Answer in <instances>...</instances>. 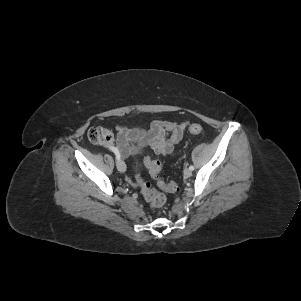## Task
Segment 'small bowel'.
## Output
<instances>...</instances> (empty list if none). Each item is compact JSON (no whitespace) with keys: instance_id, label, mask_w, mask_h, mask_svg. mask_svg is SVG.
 <instances>
[{"instance_id":"1","label":"small bowel","mask_w":301,"mask_h":301,"mask_svg":"<svg viewBox=\"0 0 301 301\" xmlns=\"http://www.w3.org/2000/svg\"><path fill=\"white\" fill-rule=\"evenodd\" d=\"M186 122L154 121L148 129L118 127L115 147L127 158L134 154L139 145H146L158 155H169L181 142Z\"/></svg>"}]
</instances>
